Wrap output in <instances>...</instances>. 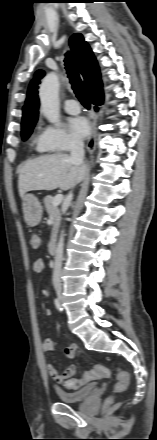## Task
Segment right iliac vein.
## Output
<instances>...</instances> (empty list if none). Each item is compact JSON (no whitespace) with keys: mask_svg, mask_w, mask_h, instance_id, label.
<instances>
[{"mask_svg":"<svg viewBox=\"0 0 157 440\" xmlns=\"http://www.w3.org/2000/svg\"><path fill=\"white\" fill-rule=\"evenodd\" d=\"M57 295H58L59 299L61 300L62 296H61V289L60 288L57 289Z\"/></svg>","mask_w":157,"mask_h":440,"instance_id":"obj_1","label":"right iliac vein"}]
</instances>
